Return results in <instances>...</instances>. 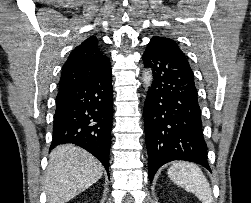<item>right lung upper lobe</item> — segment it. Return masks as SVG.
Returning <instances> with one entry per match:
<instances>
[{"instance_id":"1","label":"right lung upper lobe","mask_w":251,"mask_h":203,"mask_svg":"<svg viewBox=\"0 0 251 203\" xmlns=\"http://www.w3.org/2000/svg\"><path fill=\"white\" fill-rule=\"evenodd\" d=\"M109 64L110 59L98 50L97 38L89 37L71 52L64 64L58 94L100 73Z\"/></svg>"}]
</instances>
